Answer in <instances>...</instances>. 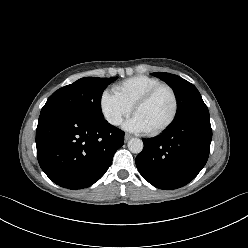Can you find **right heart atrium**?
I'll return each instance as SVG.
<instances>
[{"label": "right heart atrium", "mask_w": 248, "mask_h": 248, "mask_svg": "<svg viewBox=\"0 0 248 248\" xmlns=\"http://www.w3.org/2000/svg\"><path fill=\"white\" fill-rule=\"evenodd\" d=\"M100 110L109 124L118 126L131 113L132 108L114 92L104 90L100 96Z\"/></svg>", "instance_id": "obj_1"}]
</instances>
